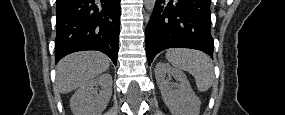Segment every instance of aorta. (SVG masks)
<instances>
[{
	"instance_id": "aorta-1",
	"label": "aorta",
	"mask_w": 285,
	"mask_h": 115,
	"mask_svg": "<svg viewBox=\"0 0 285 115\" xmlns=\"http://www.w3.org/2000/svg\"><path fill=\"white\" fill-rule=\"evenodd\" d=\"M144 4H145V8H146L147 12L149 14H151L153 12L154 7H155L156 0H145Z\"/></svg>"
}]
</instances>
